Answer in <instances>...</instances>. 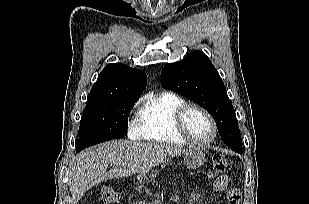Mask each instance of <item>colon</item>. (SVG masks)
<instances>
[{"mask_svg":"<svg viewBox=\"0 0 309 204\" xmlns=\"http://www.w3.org/2000/svg\"><path fill=\"white\" fill-rule=\"evenodd\" d=\"M231 169V162L223 154H217L214 156L210 168V173L212 176H221ZM100 202L101 204H116L121 201L122 196L118 190L110 185L106 184L102 187L100 192ZM239 197L235 196L231 200V204H238Z\"/></svg>","mask_w":309,"mask_h":204,"instance_id":"5ec220e1","label":"colon"}]
</instances>
